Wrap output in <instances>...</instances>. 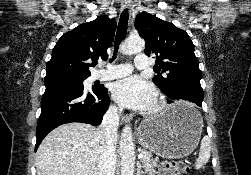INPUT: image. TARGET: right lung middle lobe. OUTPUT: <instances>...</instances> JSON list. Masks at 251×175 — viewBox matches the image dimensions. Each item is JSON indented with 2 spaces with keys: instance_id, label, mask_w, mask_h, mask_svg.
I'll use <instances>...</instances> for the list:
<instances>
[{
  "instance_id": "right-lung-middle-lobe-1",
  "label": "right lung middle lobe",
  "mask_w": 251,
  "mask_h": 175,
  "mask_svg": "<svg viewBox=\"0 0 251 175\" xmlns=\"http://www.w3.org/2000/svg\"><path fill=\"white\" fill-rule=\"evenodd\" d=\"M86 78H64V79H57L52 81H63V82H73V83H83ZM45 83L49 81H44Z\"/></svg>"
}]
</instances>
